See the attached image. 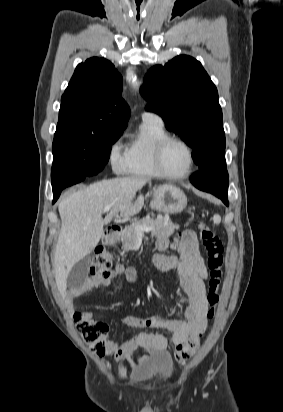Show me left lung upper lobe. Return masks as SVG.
<instances>
[{"mask_svg":"<svg viewBox=\"0 0 283 412\" xmlns=\"http://www.w3.org/2000/svg\"><path fill=\"white\" fill-rule=\"evenodd\" d=\"M147 110L159 113L166 128L193 149L199 169L210 167L214 152H225V133L218 92L196 59L181 55L146 75Z\"/></svg>","mask_w":283,"mask_h":412,"instance_id":"5c2ea615","label":"left lung upper lobe"}]
</instances>
